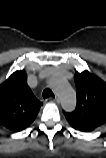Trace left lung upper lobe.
<instances>
[{"instance_id": "1", "label": "left lung upper lobe", "mask_w": 106, "mask_h": 158, "mask_svg": "<svg viewBox=\"0 0 106 158\" xmlns=\"http://www.w3.org/2000/svg\"><path fill=\"white\" fill-rule=\"evenodd\" d=\"M77 104L73 112H64L76 130L90 132L106 123V83L89 71L76 73Z\"/></svg>"}]
</instances>
